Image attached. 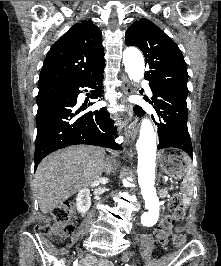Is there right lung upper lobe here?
<instances>
[{
  "instance_id": "obj_1",
  "label": "right lung upper lobe",
  "mask_w": 221,
  "mask_h": 266,
  "mask_svg": "<svg viewBox=\"0 0 221 266\" xmlns=\"http://www.w3.org/2000/svg\"><path fill=\"white\" fill-rule=\"evenodd\" d=\"M104 67L101 31L91 21H82L52 45L41 69L38 86L71 87Z\"/></svg>"
}]
</instances>
